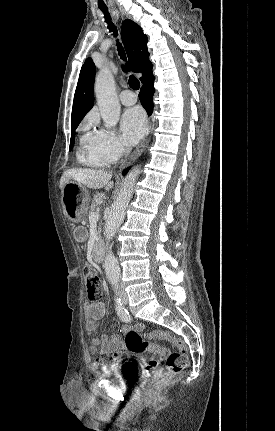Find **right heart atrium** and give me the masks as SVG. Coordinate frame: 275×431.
<instances>
[{"label": "right heart atrium", "instance_id": "right-heart-atrium-1", "mask_svg": "<svg viewBox=\"0 0 275 431\" xmlns=\"http://www.w3.org/2000/svg\"><path fill=\"white\" fill-rule=\"evenodd\" d=\"M88 123L94 129L84 135L83 143L88 148L90 157L106 164L118 160L125 153V147L116 132L100 126L95 117H91Z\"/></svg>", "mask_w": 275, "mask_h": 431}]
</instances>
